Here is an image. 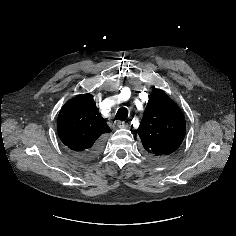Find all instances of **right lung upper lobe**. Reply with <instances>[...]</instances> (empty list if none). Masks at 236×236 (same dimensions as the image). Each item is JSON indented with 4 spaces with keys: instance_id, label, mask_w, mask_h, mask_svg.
I'll use <instances>...</instances> for the list:
<instances>
[{
    "instance_id": "cb5924a9",
    "label": "right lung upper lobe",
    "mask_w": 236,
    "mask_h": 236,
    "mask_svg": "<svg viewBox=\"0 0 236 236\" xmlns=\"http://www.w3.org/2000/svg\"><path fill=\"white\" fill-rule=\"evenodd\" d=\"M110 131L90 93L69 100L59 112L58 136L74 152L90 149L103 134Z\"/></svg>"
}]
</instances>
